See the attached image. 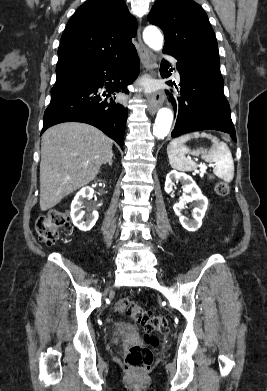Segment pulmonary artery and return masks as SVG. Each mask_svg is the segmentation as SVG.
<instances>
[{
  "label": "pulmonary artery",
  "instance_id": "obj_1",
  "mask_svg": "<svg viewBox=\"0 0 267 391\" xmlns=\"http://www.w3.org/2000/svg\"><path fill=\"white\" fill-rule=\"evenodd\" d=\"M170 60L172 61V63H173L174 65L176 64V62H175L174 59L170 58Z\"/></svg>",
  "mask_w": 267,
  "mask_h": 391
}]
</instances>
